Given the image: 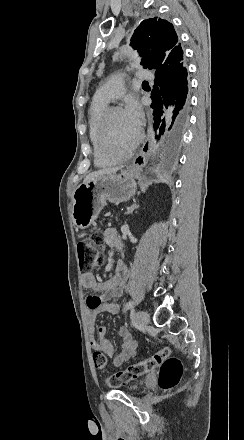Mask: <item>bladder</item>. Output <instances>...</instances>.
Returning <instances> with one entry per match:
<instances>
[{"instance_id": "1", "label": "bladder", "mask_w": 244, "mask_h": 440, "mask_svg": "<svg viewBox=\"0 0 244 440\" xmlns=\"http://www.w3.org/2000/svg\"><path fill=\"white\" fill-rule=\"evenodd\" d=\"M141 385H142V381L136 380L135 382L127 385L126 391H128V392L135 391V390L139 389Z\"/></svg>"}]
</instances>
